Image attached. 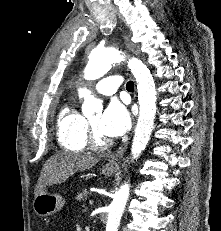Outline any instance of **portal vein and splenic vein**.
Instances as JSON below:
<instances>
[{
    "mask_svg": "<svg viewBox=\"0 0 221 231\" xmlns=\"http://www.w3.org/2000/svg\"><path fill=\"white\" fill-rule=\"evenodd\" d=\"M93 203H94V200L93 199H89V204L93 205Z\"/></svg>",
    "mask_w": 221,
    "mask_h": 231,
    "instance_id": "portal-vein-and-splenic-vein-1",
    "label": "portal vein and splenic vein"
}]
</instances>
